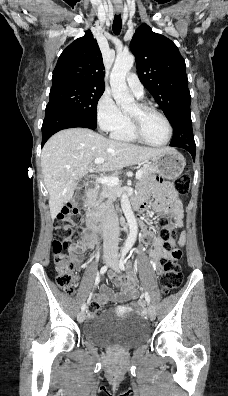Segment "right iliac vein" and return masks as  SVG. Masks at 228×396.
<instances>
[{"mask_svg":"<svg viewBox=\"0 0 228 396\" xmlns=\"http://www.w3.org/2000/svg\"><path fill=\"white\" fill-rule=\"evenodd\" d=\"M104 261H105V263L108 264V265L111 264V262H112V255H111V254L105 255ZM77 319H78V322L82 323V322L85 320V313H84L83 311L79 312V313H78V316H77Z\"/></svg>","mask_w":228,"mask_h":396,"instance_id":"right-iliac-vein-1","label":"right iliac vein"}]
</instances>
